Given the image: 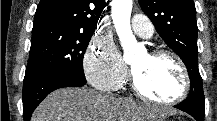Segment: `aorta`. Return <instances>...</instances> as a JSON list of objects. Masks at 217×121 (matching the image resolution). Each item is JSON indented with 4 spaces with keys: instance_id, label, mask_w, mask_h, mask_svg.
I'll use <instances>...</instances> for the list:
<instances>
[{
    "instance_id": "obj_1",
    "label": "aorta",
    "mask_w": 217,
    "mask_h": 121,
    "mask_svg": "<svg viewBox=\"0 0 217 121\" xmlns=\"http://www.w3.org/2000/svg\"><path fill=\"white\" fill-rule=\"evenodd\" d=\"M112 19L124 49V59H132L140 46L137 43L130 25L132 0H112Z\"/></svg>"
}]
</instances>
